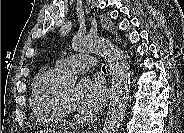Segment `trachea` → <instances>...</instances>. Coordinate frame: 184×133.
<instances>
[{
	"mask_svg": "<svg viewBox=\"0 0 184 133\" xmlns=\"http://www.w3.org/2000/svg\"><path fill=\"white\" fill-rule=\"evenodd\" d=\"M102 70H103V71H106V67H105V65L102 67Z\"/></svg>",
	"mask_w": 184,
	"mask_h": 133,
	"instance_id": "obj_1",
	"label": "trachea"
}]
</instances>
